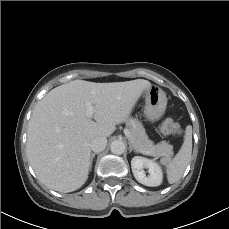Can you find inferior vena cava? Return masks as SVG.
<instances>
[{
  "mask_svg": "<svg viewBox=\"0 0 229 229\" xmlns=\"http://www.w3.org/2000/svg\"><path fill=\"white\" fill-rule=\"evenodd\" d=\"M107 139L105 137H96L90 143V148L94 152H101L106 148Z\"/></svg>",
  "mask_w": 229,
  "mask_h": 229,
  "instance_id": "inferior-vena-cava-1",
  "label": "inferior vena cava"
}]
</instances>
